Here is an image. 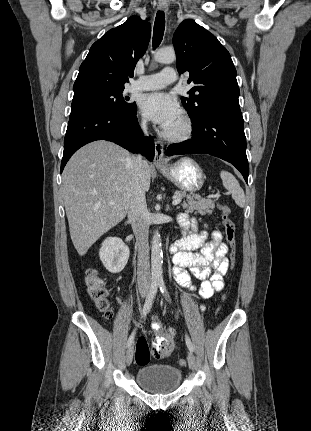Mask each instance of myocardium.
<instances>
[{
	"label": "myocardium",
	"mask_w": 311,
	"mask_h": 431,
	"mask_svg": "<svg viewBox=\"0 0 311 431\" xmlns=\"http://www.w3.org/2000/svg\"><path fill=\"white\" fill-rule=\"evenodd\" d=\"M183 128L178 133L163 132L162 137L169 142H181L191 138L196 129L195 121L188 112H183L180 116Z\"/></svg>",
	"instance_id": "obj_1"
}]
</instances>
